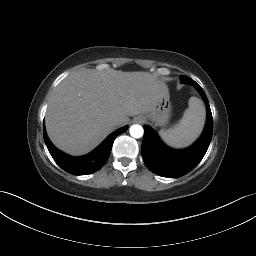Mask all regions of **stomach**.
<instances>
[{
  "mask_svg": "<svg viewBox=\"0 0 256 256\" xmlns=\"http://www.w3.org/2000/svg\"><path fill=\"white\" fill-rule=\"evenodd\" d=\"M171 101L169 92L164 93L155 103L154 107L144 113L141 117L145 120H150L156 126H165L171 114Z\"/></svg>",
  "mask_w": 256,
  "mask_h": 256,
  "instance_id": "1",
  "label": "stomach"
}]
</instances>
